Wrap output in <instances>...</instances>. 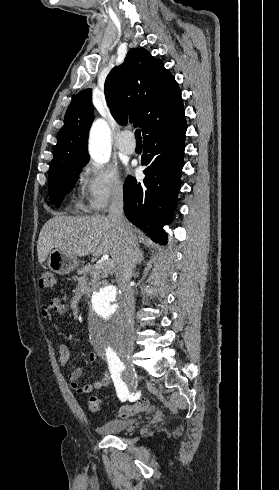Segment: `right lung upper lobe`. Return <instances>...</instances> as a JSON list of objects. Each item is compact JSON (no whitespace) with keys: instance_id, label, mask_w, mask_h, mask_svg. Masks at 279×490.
Wrapping results in <instances>:
<instances>
[{"instance_id":"right-lung-upper-lobe-1","label":"right lung upper lobe","mask_w":279,"mask_h":490,"mask_svg":"<svg viewBox=\"0 0 279 490\" xmlns=\"http://www.w3.org/2000/svg\"><path fill=\"white\" fill-rule=\"evenodd\" d=\"M90 89L72 100L59 132L49 176L89 161L87 138L94 119ZM105 96L115 120L142 129L143 138L162 133L185 120L181 92L161 60L144 48H132L125 62L105 82Z\"/></svg>"}]
</instances>
